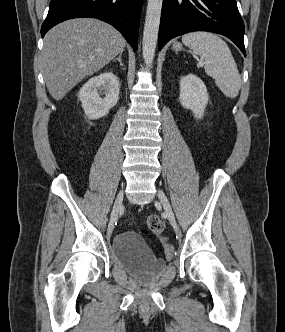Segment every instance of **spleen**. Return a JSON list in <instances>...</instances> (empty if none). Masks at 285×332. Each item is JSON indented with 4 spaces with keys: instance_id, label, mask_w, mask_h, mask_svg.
<instances>
[{
    "instance_id": "obj_1",
    "label": "spleen",
    "mask_w": 285,
    "mask_h": 332,
    "mask_svg": "<svg viewBox=\"0 0 285 332\" xmlns=\"http://www.w3.org/2000/svg\"><path fill=\"white\" fill-rule=\"evenodd\" d=\"M182 42L199 55L207 75L229 98H235L241 88V76L231 51L224 40L210 32H191L183 35Z\"/></svg>"
}]
</instances>
